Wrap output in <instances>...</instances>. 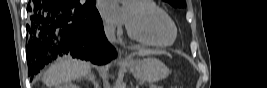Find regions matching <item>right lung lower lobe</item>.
Here are the masks:
<instances>
[{
	"label": "right lung lower lobe",
	"mask_w": 267,
	"mask_h": 88,
	"mask_svg": "<svg viewBox=\"0 0 267 88\" xmlns=\"http://www.w3.org/2000/svg\"><path fill=\"white\" fill-rule=\"evenodd\" d=\"M28 6L31 16L26 55L30 76L61 55L94 64H106L117 56L94 6L77 5L73 0H33Z\"/></svg>",
	"instance_id": "obj_1"
}]
</instances>
